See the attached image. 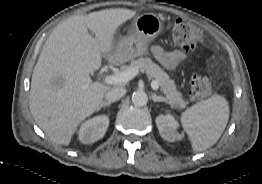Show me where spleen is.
<instances>
[{
  "label": "spleen",
  "instance_id": "3e777b00",
  "mask_svg": "<svg viewBox=\"0 0 262 184\" xmlns=\"http://www.w3.org/2000/svg\"><path fill=\"white\" fill-rule=\"evenodd\" d=\"M229 119L228 102L222 96H212L186 109L181 123L194 152L214 145L222 135Z\"/></svg>",
  "mask_w": 262,
  "mask_h": 184
}]
</instances>
